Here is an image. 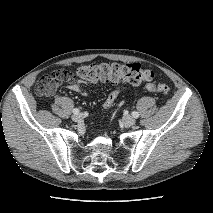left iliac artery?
Instances as JSON below:
<instances>
[{
  "label": "left iliac artery",
  "instance_id": "1",
  "mask_svg": "<svg viewBox=\"0 0 213 213\" xmlns=\"http://www.w3.org/2000/svg\"><path fill=\"white\" fill-rule=\"evenodd\" d=\"M132 116H133L134 118H138V117H139V113L136 112V111H133V112H132Z\"/></svg>",
  "mask_w": 213,
  "mask_h": 213
}]
</instances>
